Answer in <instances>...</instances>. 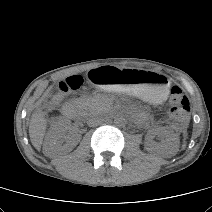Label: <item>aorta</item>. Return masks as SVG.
I'll use <instances>...</instances> for the list:
<instances>
[{"mask_svg": "<svg viewBox=\"0 0 212 212\" xmlns=\"http://www.w3.org/2000/svg\"><path fill=\"white\" fill-rule=\"evenodd\" d=\"M114 123L116 126H124L126 123V120L122 116H118L114 119Z\"/></svg>", "mask_w": 212, "mask_h": 212, "instance_id": "1", "label": "aorta"}]
</instances>
